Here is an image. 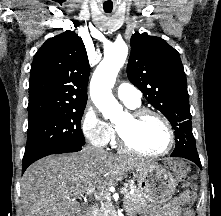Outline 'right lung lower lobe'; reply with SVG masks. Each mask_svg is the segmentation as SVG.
Listing matches in <instances>:
<instances>
[{
	"instance_id": "obj_1",
	"label": "right lung lower lobe",
	"mask_w": 221,
	"mask_h": 216,
	"mask_svg": "<svg viewBox=\"0 0 221 216\" xmlns=\"http://www.w3.org/2000/svg\"><path fill=\"white\" fill-rule=\"evenodd\" d=\"M82 149V146H68V147H62V148H58V149H55V150H52V151H49L43 155H41L40 157H38L37 159L35 160H32V161H28V162H25L22 164V173L25 172V170L27 169V167L32 164L33 162H35L36 160L42 158V157H45V156H48V155H51V154H60V153H68V152H77V151H80Z\"/></svg>"
}]
</instances>
